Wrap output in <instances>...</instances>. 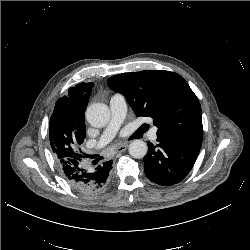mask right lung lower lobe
Here are the masks:
<instances>
[{"mask_svg":"<svg viewBox=\"0 0 250 250\" xmlns=\"http://www.w3.org/2000/svg\"><path fill=\"white\" fill-rule=\"evenodd\" d=\"M58 169L64 179L83 194L101 191L109 181L112 161H106L93 169L83 167L82 161L76 159L57 161Z\"/></svg>","mask_w":250,"mask_h":250,"instance_id":"obj_1","label":"right lung lower lobe"}]
</instances>
